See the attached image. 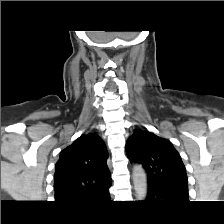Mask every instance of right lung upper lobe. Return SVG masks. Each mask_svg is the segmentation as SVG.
<instances>
[{"label":"right lung upper lobe","mask_w":224,"mask_h":224,"mask_svg":"<svg viewBox=\"0 0 224 224\" xmlns=\"http://www.w3.org/2000/svg\"><path fill=\"white\" fill-rule=\"evenodd\" d=\"M107 158L104 142L94 133L80 136L65 148L55 167L56 201L73 204L106 195L111 185Z\"/></svg>","instance_id":"cb5924a9"}]
</instances>
